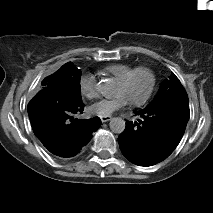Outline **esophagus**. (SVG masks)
<instances>
[{"label":"esophagus","instance_id":"34e87169","mask_svg":"<svg viewBox=\"0 0 213 213\" xmlns=\"http://www.w3.org/2000/svg\"><path fill=\"white\" fill-rule=\"evenodd\" d=\"M101 121L102 122H107L111 119V116L110 115H104V116H101Z\"/></svg>","mask_w":213,"mask_h":213}]
</instances>
